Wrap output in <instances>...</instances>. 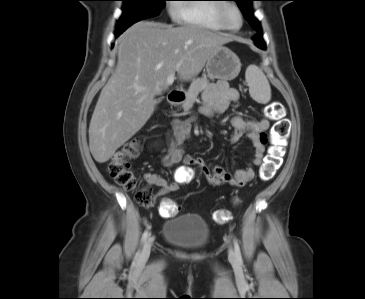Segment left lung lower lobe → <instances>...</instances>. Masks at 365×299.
Instances as JSON below:
<instances>
[{"mask_svg": "<svg viewBox=\"0 0 365 299\" xmlns=\"http://www.w3.org/2000/svg\"><path fill=\"white\" fill-rule=\"evenodd\" d=\"M254 41H255V45L261 49H265V43L263 41V38L261 36V34H258L257 36H255L254 38Z\"/></svg>", "mask_w": 365, "mask_h": 299, "instance_id": "0a47b994", "label": "left lung lower lobe"}]
</instances>
